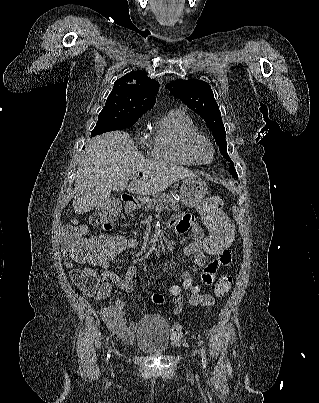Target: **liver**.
Instances as JSON below:
<instances>
[{
	"label": "liver",
	"mask_w": 319,
	"mask_h": 403,
	"mask_svg": "<svg viewBox=\"0 0 319 403\" xmlns=\"http://www.w3.org/2000/svg\"><path fill=\"white\" fill-rule=\"evenodd\" d=\"M138 172L142 177L128 184V177ZM187 177L197 176L182 166L145 158L126 132H108L86 146L77 168L73 208L78 215L89 212L103 204L112 190L154 195Z\"/></svg>",
	"instance_id": "obj_1"
}]
</instances>
